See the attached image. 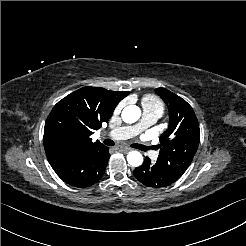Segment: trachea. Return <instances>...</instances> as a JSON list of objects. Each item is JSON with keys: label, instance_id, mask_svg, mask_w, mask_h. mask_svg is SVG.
Returning a JSON list of instances; mask_svg holds the SVG:
<instances>
[{"label": "trachea", "instance_id": "obj_1", "mask_svg": "<svg viewBox=\"0 0 246 246\" xmlns=\"http://www.w3.org/2000/svg\"><path fill=\"white\" fill-rule=\"evenodd\" d=\"M104 144L107 146H114L115 143H114V141H112L110 139H106V140H104ZM147 148H151V147H146V146H142V145H140L138 147V149L143 150V151H145Z\"/></svg>", "mask_w": 246, "mask_h": 246}]
</instances>
